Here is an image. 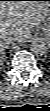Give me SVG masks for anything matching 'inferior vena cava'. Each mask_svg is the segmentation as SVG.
<instances>
[{
	"mask_svg": "<svg viewBox=\"0 0 50 111\" xmlns=\"http://www.w3.org/2000/svg\"><path fill=\"white\" fill-rule=\"evenodd\" d=\"M15 41H18L17 38H14V37H8L7 41L5 42L4 45H2V48L5 49V48H8L10 47L11 45H14L15 44Z\"/></svg>",
	"mask_w": 50,
	"mask_h": 111,
	"instance_id": "1",
	"label": "inferior vena cava"
}]
</instances>
